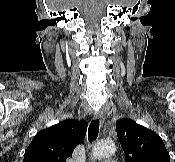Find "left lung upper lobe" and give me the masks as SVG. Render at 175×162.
Instances as JSON below:
<instances>
[{
    "instance_id": "obj_1",
    "label": "left lung upper lobe",
    "mask_w": 175,
    "mask_h": 162,
    "mask_svg": "<svg viewBox=\"0 0 175 162\" xmlns=\"http://www.w3.org/2000/svg\"><path fill=\"white\" fill-rule=\"evenodd\" d=\"M116 131L126 162H170L162 139L154 131L130 119L118 120Z\"/></svg>"
}]
</instances>
